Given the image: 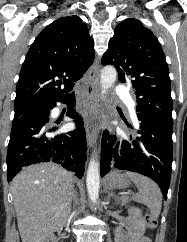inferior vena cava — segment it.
<instances>
[{"label":"inferior vena cava","mask_w":187,"mask_h":242,"mask_svg":"<svg viewBox=\"0 0 187 242\" xmlns=\"http://www.w3.org/2000/svg\"><path fill=\"white\" fill-rule=\"evenodd\" d=\"M72 197L74 198V200L76 199V194H73Z\"/></svg>","instance_id":"1"}]
</instances>
